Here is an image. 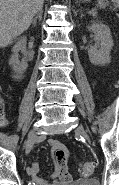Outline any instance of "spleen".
Listing matches in <instances>:
<instances>
[{"mask_svg":"<svg viewBox=\"0 0 119 185\" xmlns=\"http://www.w3.org/2000/svg\"><path fill=\"white\" fill-rule=\"evenodd\" d=\"M112 1L116 3L117 7H119V0H112Z\"/></svg>","mask_w":119,"mask_h":185,"instance_id":"1","label":"spleen"}]
</instances>
